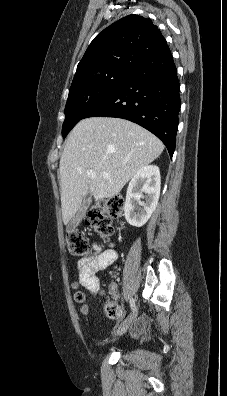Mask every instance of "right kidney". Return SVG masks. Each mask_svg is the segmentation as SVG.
<instances>
[{"label": "right kidney", "instance_id": "ca27d5eb", "mask_svg": "<svg viewBox=\"0 0 227 396\" xmlns=\"http://www.w3.org/2000/svg\"><path fill=\"white\" fill-rule=\"evenodd\" d=\"M160 184V171L155 165L140 168L132 177L124 205V215L130 225L141 227L151 217L159 200Z\"/></svg>", "mask_w": 227, "mask_h": 396}]
</instances>
